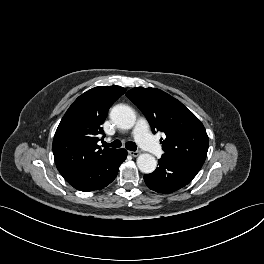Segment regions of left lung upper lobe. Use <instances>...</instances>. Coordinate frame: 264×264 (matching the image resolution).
<instances>
[{"label": "left lung upper lobe", "mask_w": 264, "mask_h": 264, "mask_svg": "<svg viewBox=\"0 0 264 264\" xmlns=\"http://www.w3.org/2000/svg\"><path fill=\"white\" fill-rule=\"evenodd\" d=\"M149 120L152 131L165 133L161 144L166 155L186 159L202 167L209 139L203 124L180 101L156 88L135 87L127 92Z\"/></svg>", "instance_id": "left-lung-upper-lobe-1"}]
</instances>
